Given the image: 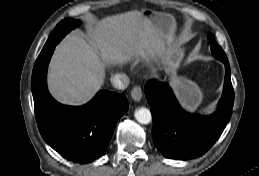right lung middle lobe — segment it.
<instances>
[{
	"mask_svg": "<svg viewBox=\"0 0 259 176\" xmlns=\"http://www.w3.org/2000/svg\"><path fill=\"white\" fill-rule=\"evenodd\" d=\"M79 20H74V19H64L62 20L54 29L52 32L51 36L47 40L45 46L43 49H47L52 45H56L60 42V40L72 29L80 25Z\"/></svg>",
	"mask_w": 259,
	"mask_h": 176,
	"instance_id": "1",
	"label": "right lung middle lobe"
}]
</instances>
